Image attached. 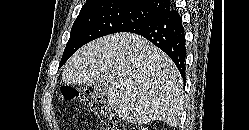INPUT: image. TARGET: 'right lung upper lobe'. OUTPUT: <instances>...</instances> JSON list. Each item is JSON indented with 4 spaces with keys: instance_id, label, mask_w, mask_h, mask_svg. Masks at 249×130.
Returning a JSON list of instances; mask_svg holds the SVG:
<instances>
[{
    "instance_id": "cb5924a9",
    "label": "right lung upper lobe",
    "mask_w": 249,
    "mask_h": 130,
    "mask_svg": "<svg viewBox=\"0 0 249 130\" xmlns=\"http://www.w3.org/2000/svg\"><path fill=\"white\" fill-rule=\"evenodd\" d=\"M103 2L132 5L148 11L156 12L158 15H162L171 10L169 0H87L84 5Z\"/></svg>"
}]
</instances>
